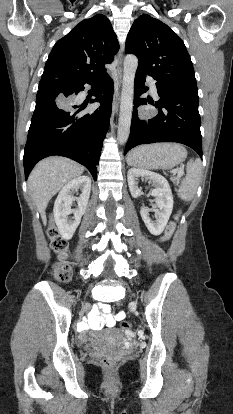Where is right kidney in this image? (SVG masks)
<instances>
[{
    "instance_id": "right-kidney-1",
    "label": "right kidney",
    "mask_w": 233,
    "mask_h": 414,
    "mask_svg": "<svg viewBox=\"0 0 233 414\" xmlns=\"http://www.w3.org/2000/svg\"><path fill=\"white\" fill-rule=\"evenodd\" d=\"M81 189L82 194L77 199L78 207L71 209L75 201L74 192ZM91 191V179L88 176H79L68 182L59 192L54 203V219L60 234L64 239H71L76 228L80 224L81 217L86 211ZM74 214L73 219H69L70 214Z\"/></svg>"
}]
</instances>
